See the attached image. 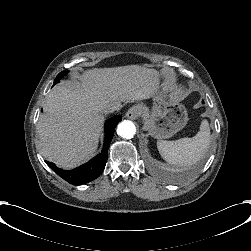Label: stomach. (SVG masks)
Here are the masks:
<instances>
[{
	"mask_svg": "<svg viewBox=\"0 0 251 251\" xmlns=\"http://www.w3.org/2000/svg\"><path fill=\"white\" fill-rule=\"evenodd\" d=\"M163 74L158 71L157 92L152 97L149 113L142 106V112L138 118L143 119L144 128L155 139H168L183 130L188 121V110L184 103L174 101L168 93L162 89Z\"/></svg>",
	"mask_w": 251,
	"mask_h": 251,
	"instance_id": "1",
	"label": "stomach"
}]
</instances>
